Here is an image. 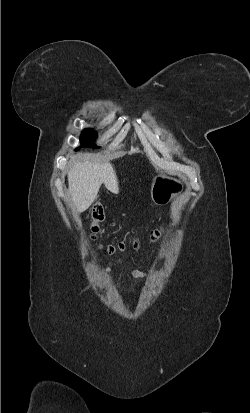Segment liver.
Masks as SVG:
<instances>
[{
  "instance_id": "obj_1",
  "label": "liver",
  "mask_w": 250,
  "mask_h": 413,
  "mask_svg": "<svg viewBox=\"0 0 250 413\" xmlns=\"http://www.w3.org/2000/svg\"><path fill=\"white\" fill-rule=\"evenodd\" d=\"M118 194V179L111 163H97L78 159L68 171V191L73 208L85 211L95 201L101 185Z\"/></svg>"
}]
</instances>
